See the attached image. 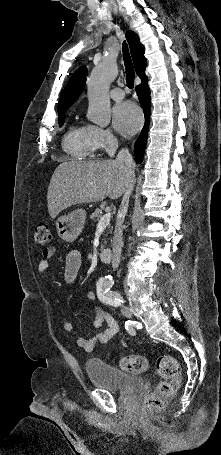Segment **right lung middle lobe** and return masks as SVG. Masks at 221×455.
<instances>
[{
  "label": "right lung middle lobe",
  "instance_id": "right-lung-middle-lobe-1",
  "mask_svg": "<svg viewBox=\"0 0 221 455\" xmlns=\"http://www.w3.org/2000/svg\"><path fill=\"white\" fill-rule=\"evenodd\" d=\"M67 109H61V110H58V113H59V125L62 126L63 123H64V119H65V112H66Z\"/></svg>",
  "mask_w": 221,
  "mask_h": 455
}]
</instances>
